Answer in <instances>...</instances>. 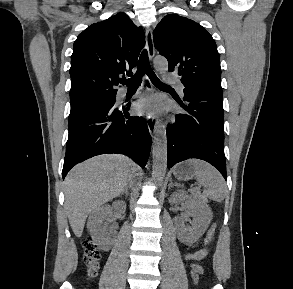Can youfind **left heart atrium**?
<instances>
[{
	"mask_svg": "<svg viewBox=\"0 0 293 289\" xmlns=\"http://www.w3.org/2000/svg\"><path fill=\"white\" fill-rule=\"evenodd\" d=\"M161 103L157 97H147L137 103L138 113L145 115H153L160 110Z\"/></svg>",
	"mask_w": 293,
	"mask_h": 289,
	"instance_id": "left-heart-atrium-1",
	"label": "left heart atrium"
}]
</instances>
